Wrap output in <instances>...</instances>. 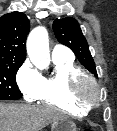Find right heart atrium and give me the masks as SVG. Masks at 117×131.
<instances>
[{"label": "right heart atrium", "mask_w": 117, "mask_h": 131, "mask_svg": "<svg viewBox=\"0 0 117 131\" xmlns=\"http://www.w3.org/2000/svg\"><path fill=\"white\" fill-rule=\"evenodd\" d=\"M42 75L29 61H25L16 74L17 85L28 101L37 99L42 85Z\"/></svg>", "instance_id": "right-heart-atrium-1"}]
</instances>
